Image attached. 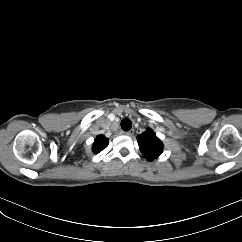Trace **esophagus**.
<instances>
[{
	"label": "esophagus",
	"mask_w": 242,
	"mask_h": 242,
	"mask_svg": "<svg viewBox=\"0 0 242 242\" xmlns=\"http://www.w3.org/2000/svg\"><path fill=\"white\" fill-rule=\"evenodd\" d=\"M127 136H133L134 134V129H131L125 133Z\"/></svg>",
	"instance_id": "34e87169"
}]
</instances>
